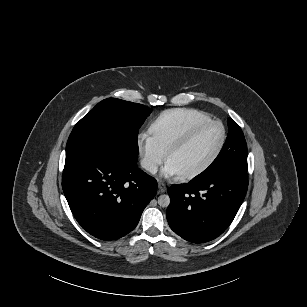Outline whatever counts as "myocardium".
<instances>
[{"label": "myocardium", "mask_w": 307, "mask_h": 307, "mask_svg": "<svg viewBox=\"0 0 307 307\" xmlns=\"http://www.w3.org/2000/svg\"><path fill=\"white\" fill-rule=\"evenodd\" d=\"M213 124H221L223 126V129H224V136H223V139H222L220 146L218 147L216 152L211 156V158L208 161H206L203 165H201L200 167H198L197 169H195L193 171L179 175V177L181 179L186 180V179H191V178L197 177V176L205 173L207 170H209L217 162V160L221 156V154L224 151V149L227 145V142H228V128H227L226 124L221 120L207 121L206 123L196 127L194 130H192L190 133H188L182 140L176 142L174 145H172L166 151L165 160H166L167 163H169V160H170L172 155H174L175 153L181 151L182 149H184L185 147L190 145L198 137V135L202 131H204L206 128H208L209 126H211Z\"/></svg>", "instance_id": "1"}]
</instances>
